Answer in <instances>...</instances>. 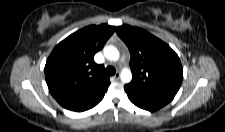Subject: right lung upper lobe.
<instances>
[{
	"label": "right lung upper lobe",
	"mask_w": 225,
	"mask_h": 132,
	"mask_svg": "<svg viewBox=\"0 0 225 132\" xmlns=\"http://www.w3.org/2000/svg\"><path fill=\"white\" fill-rule=\"evenodd\" d=\"M107 24L85 27L61 41L45 65V77L50 93L66 109L82 112L96 106L110 85L104 66L94 62L114 33Z\"/></svg>",
	"instance_id": "right-lung-upper-lobe-1"
}]
</instances>
